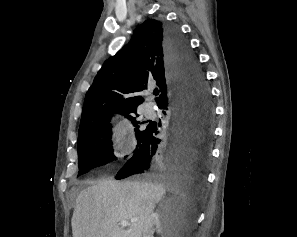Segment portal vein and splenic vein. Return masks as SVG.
I'll return each mask as SVG.
<instances>
[{"instance_id": "1", "label": "portal vein and splenic vein", "mask_w": 297, "mask_h": 237, "mask_svg": "<svg viewBox=\"0 0 297 237\" xmlns=\"http://www.w3.org/2000/svg\"><path fill=\"white\" fill-rule=\"evenodd\" d=\"M137 219H133V220H131V222H135ZM120 225H121V227H127L128 225H129V223H128V221H122L121 223H120Z\"/></svg>"}]
</instances>
